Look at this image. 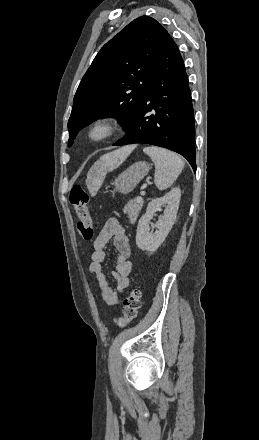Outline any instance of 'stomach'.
Returning a JSON list of instances; mask_svg holds the SVG:
<instances>
[{
    "mask_svg": "<svg viewBox=\"0 0 259 440\" xmlns=\"http://www.w3.org/2000/svg\"><path fill=\"white\" fill-rule=\"evenodd\" d=\"M149 165L146 162L140 161L131 165L124 172H122L114 181L115 191L121 194H128L134 190L139 182L148 174ZM87 185L92 188L93 179L92 173L89 174Z\"/></svg>",
    "mask_w": 259,
    "mask_h": 440,
    "instance_id": "stomach-1",
    "label": "stomach"
}]
</instances>
